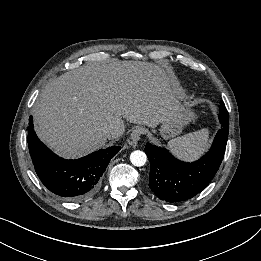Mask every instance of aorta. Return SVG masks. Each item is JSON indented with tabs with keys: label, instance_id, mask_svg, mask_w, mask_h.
Here are the masks:
<instances>
[{
	"label": "aorta",
	"instance_id": "obj_1",
	"mask_svg": "<svg viewBox=\"0 0 261 261\" xmlns=\"http://www.w3.org/2000/svg\"><path fill=\"white\" fill-rule=\"evenodd\" d=\"M130 161L134 166L141 167L145 165L147 156L143 151L136 150L131 153Z\"/></svg>",
	"mask_w": 261,
	"mask_h": 261
}]
</instances>
